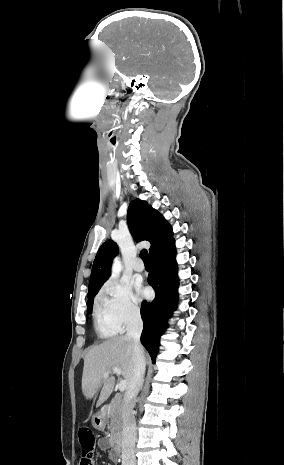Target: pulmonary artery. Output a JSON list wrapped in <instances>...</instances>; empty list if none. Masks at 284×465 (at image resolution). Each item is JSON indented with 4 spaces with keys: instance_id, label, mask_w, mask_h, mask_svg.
<instances>
[{
    "instance_id": "obj_1",
    "label": "pulmonary artery",
    "mask_w": 284,
    "mask_h": 465,
    "mask_svg": "<svg viewBox=\"0 0 284 465\" xmlns=\"http://www.w3.org/2000/svg\"><path fill=\"white\" fill-rule=\"evenodd\" d=\"M133 269H134V271H136V272H142V271L144 270V264H143V262H142L140 259L136 260V261L133 263Z\"/></svg>"
}]
</instances>
